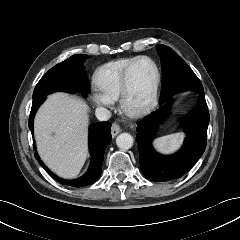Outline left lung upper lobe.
<instances>
[{
  "mask_svg": "<svg viewBox=\"0 0 240 240\" xmlns=\"http://www.w3.org/2000/svg\"><path fill=\"white\" fill-rule=\"evenodd\" d=\"M157 50L161 57L163 74L160 104H163L178 92L194 90L204 93L198 77L173 49L165 45H159Z\"/></svg>",
  "mask_w": 240,
  "mask_h": 240,
  "instance_id": "obj_1",
  "label": "left lung upper lobe"
}]
</instances>
